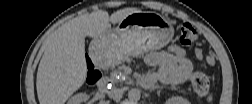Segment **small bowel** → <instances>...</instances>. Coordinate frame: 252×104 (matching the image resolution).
Returning a JSON list of instances; mask_svg holds the SVG:
<instances>
[{
    "mask_svg": "<svg viewBox=\"0 0 252 104\" xmlns=\"http://www.w3.org/2000/svg\"><path fill=\"white\" fill-rule=\"evenodd\" d=\"M146 63L155 68L144 76L142 84L150 87L156 81L164 84H181L192 72V64L188 60L186 51L180 45H171L167 50L151 52L145 58Z\"/></svg>",
    "mask_w": 252,
    "mask_h": 104,
    "instance_id": "c3829d8e",
    "label": "small bowel"
}]
</instances>
